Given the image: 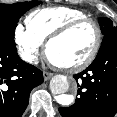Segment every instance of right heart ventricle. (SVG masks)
Returning a JSON list of instances; mask_svg holds the SVG:
<instances>
[{"label":"right heart ventricle","mask_w":117,"mask_h":117,"mask_svg":"<svg viewBox=\"0 0 117 117\" xmlns=\"http://www.w3.org/2000/svg\"><path fill=\"white\" fill-rule=\"evenodd\" d=\"M88 15L78 9L67 6L39 8L31 12L25 19L27 30L41 43L65 24Z\"/></svg>","instance_id":"right-heart-ventricle-1"}]
</instances>
